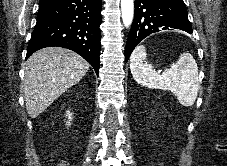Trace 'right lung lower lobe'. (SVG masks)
<instances>
[{
  "label": "right lung lower lobe",
  "mask_w": 227,
  "mask_h": 166,
  "mask_svg": "<svg viewBox=\"0 0 227 166\" xmlns=\"http://www.w3.org/2000/svg\"><path fill=\"white\" fill-rule=\"evenodd\" d=\"M101 0H51L40 4L26 59L51 46L75 51L99 72Z\"/></svg>",
  "instance_id": "right-lung-lower-lobe-1"
}]
</instances>
